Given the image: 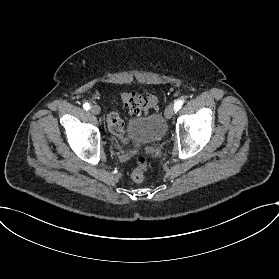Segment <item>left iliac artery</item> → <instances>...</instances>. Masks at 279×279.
<instances>
[{
    "mask_svg": "<svg viewBox=\"0 0 279 279\" xmlns=\"http://www.w3.org/2000/svg\"><path fill=\"white\" fill-rule=\"evenodd\" d=\"M183 103L184 99L177 100L174 104V111L177 112L178 110H180L182 108Z\"/></svg>",
    "mask_w": 279,
    "mask_h": 279,
    "instance_id": "obj_1",
    "label": "left iliac artery"
}]
</instances>
